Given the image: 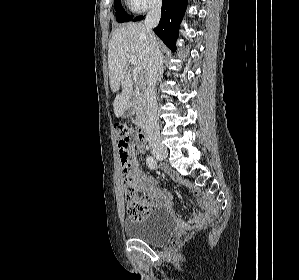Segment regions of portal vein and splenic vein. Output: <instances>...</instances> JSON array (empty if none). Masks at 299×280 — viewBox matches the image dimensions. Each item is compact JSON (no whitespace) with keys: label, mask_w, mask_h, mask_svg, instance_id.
Instances as JSON below:
<instances>
[{"label":"portal vein and splenic vein","mask_w":299,"mask_h":280,"mask_svg":"<svg viewBox=\"0 0 299 280\" xmlns=\"http://www.w3.org/2000/svg\"><path fill=\"white\" fill-rule=\"evenodd\" d=\"M127 58H129L131 64L136 65V58L133 55H127ZM141 71H142L141 67H135V69L133 70L134 80H137Z\"/></svg>","instance_id":"obj_1"}]
</instances>
